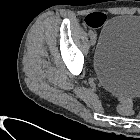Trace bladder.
<instances>
[{
    "mask_svg": "<svg viewBox=\"0 0 140 140\" xmlns=\"http://www.w3.org/2000/svg\"><path fill=\"white\" fill-rule=\"evenodd\" d=\"M93 69L106 91L123 98L140 95V15H116L106 22Z\"/></svg>",
    "mask_w": 140,
    "mask_h": 140,
    "instance_id": "31cf9c89",
    "label": "bladder"
}]
</instances>
